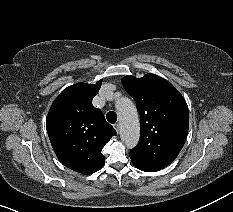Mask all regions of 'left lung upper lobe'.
<instances>
[{"label":"left lung upper lobe","mask_w":233,"mask_h":212,"mask_svg":"<svg viewBox=\"0 0 233 212\" xmlns=\"http://www.w3.org/2000/svg\"><path fill=\"white\" fill-rule=\"evenodd\" d=\"M122 83L141 116L140 139L130 157L163 169L185 143L189 126L186 101L170 82L155 74L125 76Z\"/></svg>","instance_id":"left-lung-upper-lobe-1"}]
</instances>
